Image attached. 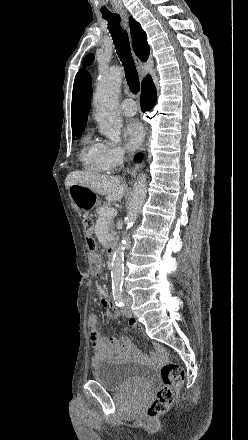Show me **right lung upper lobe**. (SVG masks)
<instances>
[{"mask_svg":"<svg viewBox=\"0 0 248 440\" xmlns=\"http://www.w3.org/2000/svg\"><path fill=\"white\" fill-rule=\"evenodd\" d=\"M129 23L134 52L142 61H146L150 53L146 33L132 17L129 18ZM149 78L151 77L148 75L142 84ZM91 95L90 75L86 71L80 70L75 77L72 93L71 123L73 132L84 130L90 110Z\"/></svg>","mask_w":248,"mask_h":440,"instance_id":"cb5924a9","label":"right lung upper lobe"}]
</instances>
